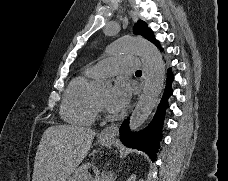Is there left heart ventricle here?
Segmentation results:
<instances>
[{
	"label": "left heart ventricle",
	"instance_id": "b2bd125f",
	"mask_svg": "<svg viewBox=\"0 0 228 181\" xmlns=\"http://www.w3.org/2000/svg\"><path fill=\"white\" fill-rule=\"evenodd\" d=\"M104 79H109L110 80V86L104 90H101L98 95H99V99L101 102H105L107 97H108V94L111 92L112 90V87L114 85V82L112 81V78L111 77H101L98 81H101V80H104Z\"/></svg>",
	"mask_w": 228,
	"mask_h": 181
}]
</instances>
